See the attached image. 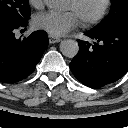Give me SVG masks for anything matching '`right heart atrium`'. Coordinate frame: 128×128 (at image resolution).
<instances>
[{
	"instance_id": "right-heart-atrium-1",
	"label": "right heart atrium",
	"mask_w": 128,
	"mask_h": 128,
	"mask_svg": "<svg viewBox=\"0 0 128 128\" xmlns=\"http://www.w3.org/2000/svg\"><path fill=\"white\" fill-rule=\"evenodd\" d=\"M29 4L36 8V9H39L43 6V0H28Z\"/></svg>"
}]
</instances>
